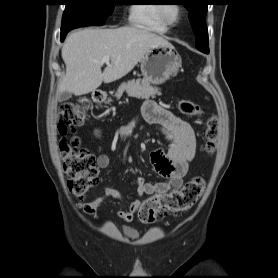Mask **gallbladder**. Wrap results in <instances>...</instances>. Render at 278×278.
Here are the masks:
<instances>
[{
  "mask_svg": "<svg viewBox=\"0 0 278 278\" xmlns=\"http://www.w3.org/2000/svg\"><path fill=\"white\" fill-rule=\"evenodd\" d=\"M71 97H72V94L70 92L65 91L58 95V101L63 102V101L70 99Z\"/></svg>",
  "mask_w": 278,
  "mask_h": 278,
  "instance_id": "bac80fb5",
  "label": "gallbladder"
}]
</instances>
